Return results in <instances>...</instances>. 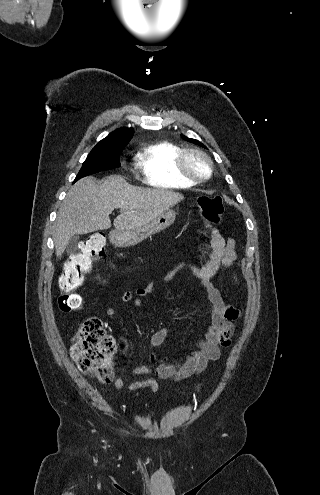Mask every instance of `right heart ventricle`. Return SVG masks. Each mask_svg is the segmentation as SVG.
<instances>
[{
  "mask_svg": "<svg viewBox=\"0 0 320 495\" xmlns=\"http://www.w3.org/2000/svg\"><path fill=\"white\" fill-rule=\"evenodd\" d=\"M181 148L169 141H156L145 145L136 155V166L143 180L159 188H187L195 183L182 177L176 168Z\"/></svg>",
  "mask_w": 320,
  "mask_h": 495,
  "instance_id": "obj_1",
  "label": "right heart ventricle"
}]
</instances>
